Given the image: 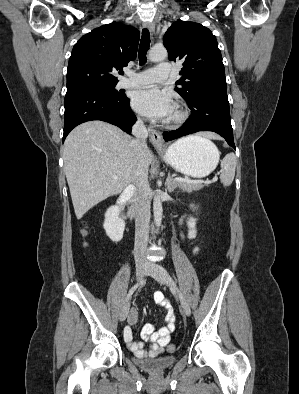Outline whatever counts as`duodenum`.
<instances>
[{"label": "duodenum", "mask_w": 299, "mask_h": 394, "mask_svg": "<svg viewBox=\"0 0 299 394\" xmlns=\"http://www.w3.org/2000/svg\"><path fill=\"white\" fill-rule=\"evenodd\" d=\"M135 193V187L133 185L128 186L120 195L117 200V207L120 209L122 213V219L127 220V216L124 213V208L128 201L132 198Z\"/></svg>", "instance_id": "obj_1"}]
</instances>
